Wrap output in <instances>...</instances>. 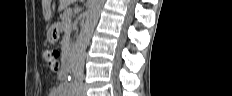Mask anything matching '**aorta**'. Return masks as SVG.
I'll use <instances>...</instances> for the list:
<instances>
[{"label": "aorta", "mask_w": 232, "mask_h": 96, "mask_svg": "<svg viewBox=\"0 0 232 96\" xmlns=\"http://www.w3.org/2000/svg\"><path fill=\"white\" fill-rule=\"evenodd\" d=\"M103 3L104 0H90L89 2L86 22L80 30L72 53V70L76 74L83 73L86 48L99 19Z\"/></svg>", "instance_id": "obj_1"}]
</instances>
